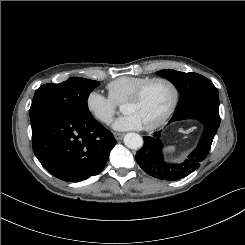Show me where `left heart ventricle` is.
<instances>
[{"label": "left heart ventricle", "instance_id": "1", "mask_svg": "<svg viewBox=\"0 0 245 245\" xmlns=\"http://www.w3.org/2000/svg\"><path fill=\"white\" fill-rule=\"evenodd\" d=\"M171 88L160 82L150 84L141 98L133 103H125L123 112L134 114L147 126L159 120L168 110L172 102Z\"/></svg>", "mask_w": 245, "mask_h": 245}]
</instances>
